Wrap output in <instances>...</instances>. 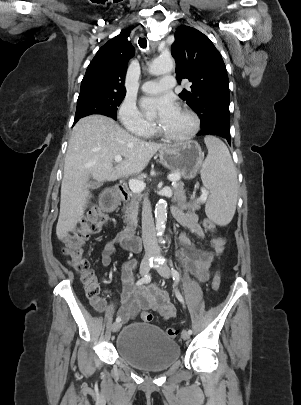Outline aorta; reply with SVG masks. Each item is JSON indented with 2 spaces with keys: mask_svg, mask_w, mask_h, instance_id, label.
<instances>
[{
  "mask_svg": "<svg viewBox=\"0 0 301 405\" xmlns=\"http://www.w3.org/2000/svg\"><path fill=\"white\" fill-rule=\"evenodd\" d=\"M174 69L172 58H158L154 60L150 67L149 73L152 75H160L170 73ZM156 231L161 235L165 231L167 221V202L160 199L155 206Z\"/></svg>",
  "mask_w": 301,
  "mask_h": 405,
  "instance_id": "aorta-1",
  "label": "aorta"
}]
</instances>
